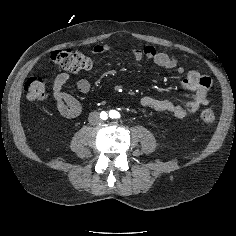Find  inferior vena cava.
<instances>
[{
  "label": "inferior vena cava",
  "mask_w": 236,
  "mask_h": 236,
  "mask_svg": "<svg viewBox=\"0 0 236 236\" xmlns=\"http://www.w3.org/2000/svg\"><path fill=\"white\" fill-rule=\"evenodd\" d=\"M88 120L91 125H97L101 121L99 113L96 111L89 114Z\"/></svg>",
  "instance_id": "1"
}]
</instances>
